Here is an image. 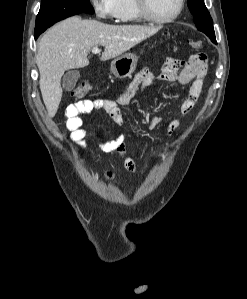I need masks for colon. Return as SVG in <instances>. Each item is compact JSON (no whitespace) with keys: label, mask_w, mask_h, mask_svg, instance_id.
<instances>
[{"label":"colon","mask_w":247,"mask_h":299,"mask_svg":"<svg viewBox=\"0 0 247 299\" xmlns=\"http://www.w3.org/2000/svg\"><path fill=\"white\" fill-rule=\"evenodd\" d=\"M190 46L194 49H200L203 46V42L201 40H191ZM90 91V85L88 82H81L78 86L72 91V95L75 98H82L88 94Z\"/></svg>","instance_id":"5ec220e1"}]
</instances>
